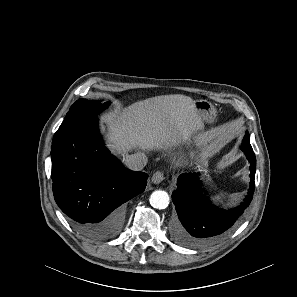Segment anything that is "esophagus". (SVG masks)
<instances>
[{"instance_id":"esophagus-1","label":"esophagus","mask_w":297,"mask_h":297,"mask_svg":"<svg viewBox=\"0 0 297 297\" xmlns=\"http://www.w3.org/2000/svg\"><path fill=\"white\" fill-rule=\"evenodd\" d=\"M165 176L162 171H157L153 174L151 180L154 184H159L164 180Z\"/></svg>"}]
</instances>
